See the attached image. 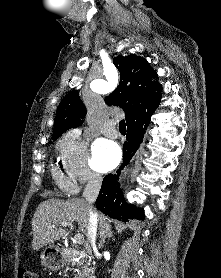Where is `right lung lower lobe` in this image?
<instances>
[{"mask_svg":"<svg viewBox=\"0 0 221 278\" xmlns=\"http://www.w3.org/2000/svg\"><path fill=\"white\" fill-rule=\"evenodd\" d=\"M150 117L127 125V141L123 145V164L117 171V174H109L103 179L102 187L96 200L97 209L123 222H129L132 219L144 220L143 209L135 208L134 205H128L125 202L118 178L120 171L128 164L139 148L145 129L150 123Z\"/></svg>","mask_w":221,"mask_h":278,"instance_id":"obj_1","label":"right lung lower lobe"}]
</instances>
